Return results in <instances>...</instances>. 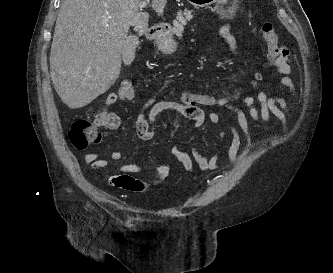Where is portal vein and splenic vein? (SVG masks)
Masks as SVG:
<instances>
[{
	"label": "portal vein and splenic vein",
	"mask_w": 333,
	"mask_h": 273,
	"mask_svg": "<svg viewBox=\"0 0 333 273\" xmlns=\"http://www.w3.org/2000/svg\"><path fill=\"white\" fill-rule=\"evenodd\" d=\"M147 6V2L146 1H142L140 4H139V9L142 10L143 8H145Z\"/></svg>",
	"instance_id": "portal-vein-and-splenic-vein-1"
}]
</instances>
